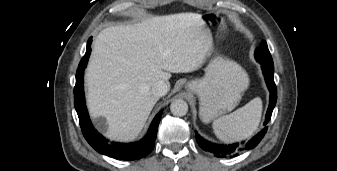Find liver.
Listing matches in <instances>:
<instances>
[{"label": "liver", "mask_w": 337, "mask_h": 171, "mask_svg": "<svg viewBox=\"0 0 337 171\" xmlns=\"http://www.w3.org/2000/svg\"><path fill=\"white\" fill-rule=\"evenodd\" d=\"M210 48L209 32L197 13L103 29L85 75L89 111L106 118L110 139L134 140L158 101L152 86L158 81L168 84L171 73L199 69Z\"/></svg>", "instance_id": "liver-1"}]
</instances>
